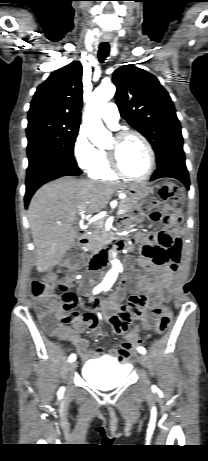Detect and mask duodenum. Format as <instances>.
<instances>
[{
    "label": "duodenum",
    "instance_id": "obj_1",
    "mask_svg": "<svg viewBox=\"0 0 208 461\" xmlns=\"http://www.w3.org/2000/svg\"><path fill=\"white\" fill-rule=\"evenodd\" d=\"M117 244H124L125 236L123 234L117 236L116 238ZM77 241L81 245H86L89 242V237L84 230L79 229L77 231ZM111 243V240L107 241L104 244V247L96 253L89 261V269L92 271H97L101 268L106 262L108 258V245ZM88 287L87 284H83L81 289L84 291Z\"/></svg>",
    "mask_w": 208,
    "mask_h": 461
}]
</instances>
